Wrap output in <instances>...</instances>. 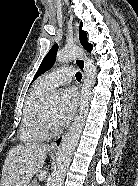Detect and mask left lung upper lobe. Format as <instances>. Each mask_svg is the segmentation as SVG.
Here are the masks:
<instances>
[{"label": "left lung upper lobe", "instance_id": "obj_1", "mask_svg": "<svg viewBox=\"0 0 138 186\" xmlns=\"http://www.w3.org/2000/svg\"><path fill=\"white\" fill-rule=\"evenodd\" d=\"M82 22L80 23V27H79V39L80 42L82 44V46L88 51L91 52L92 50V45L90 43L87 42V34L85 31L82 30ZM58 50V45L55 44L52 46V48L50 49V51L48 52V54L44 57L37 73L35 74L33 81L39 77L41 74H43L44 72H46L47 70H49L54 62H55V57H56V53Z\"/></svg>", "mask_w": 138, "mask_h": 186}]
</instances>
